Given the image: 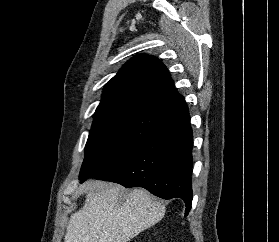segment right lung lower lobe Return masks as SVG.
Segmentation results:
<instances>
[{
  "mask_svg": "<svg viewBox=\"0 0 279 242\" xmlns=\"http://www.w3.org/2000/svg\"><path fill=\"white\" fill-rule=\"evenodd\" d=\"M192 146L190 116L185 105L162 114L149 138L92 178L116 182L127 188L143 187L163 199L181 198L186 205L185 215H188L193 196Z\"/></svg>",
  "mask_w": 279,
  "mask_h": 242,
  "instance_id": "right-lung-lower-lobe-1",
  "label": "right lung lower lobe"
}]
</instances>
